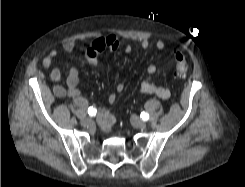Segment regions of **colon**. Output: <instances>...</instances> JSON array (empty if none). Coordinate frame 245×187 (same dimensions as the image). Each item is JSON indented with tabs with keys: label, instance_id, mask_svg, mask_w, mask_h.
Instances as JSON below:
<instances>
[{
	"label": "colon",
	"instance_id": "obj_1",
	"mask_svg": "<svg viewBox=\"0 0 245 187\" xmlns=\"http://www.w3.org/2000/svg\"><path fill=\"white\" fill-rule=\"evenodd\" d=\"M175 74L179 79H183L188 71V63L183 53L174 52Z\"/></svg>",
	"mask_w": 245,
	"mask_h": 187
}]
</instances>
